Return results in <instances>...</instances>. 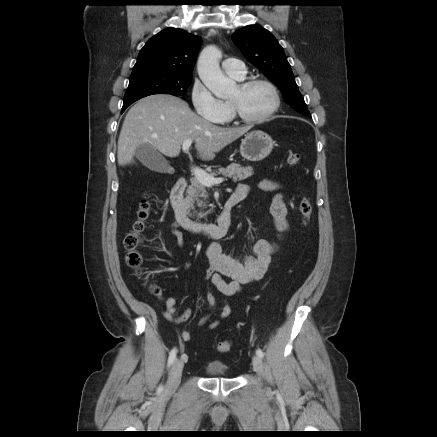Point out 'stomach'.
<instances>
[{
    "label": "stomach",
    "mask_w": 437,
    "mask_h": 437,
    "mask_svg": "<svg viewBox=\"0 0 437 437\" xmlns=\"http://www.w3.org/2000/svg\"><path fill=\"white\" fill-rule=\"evenodd\" d=\"M274 141L265 132L256 130L245 135L240 145V154L249 161H261L272 151Z\"/></svg>",
    "instance_id": "1"
}]
</instances>
